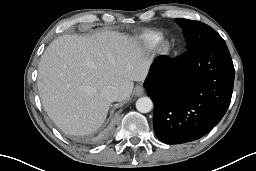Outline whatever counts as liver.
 I'll use <instances>...</instances> for the list:
<instances>
[{
  "label": "liver",
  "mask_w": 256,
  "mask_h": 171,
  "mask_svg": "<svg viewBox=\"0 0 256 171\" xmlns=\"http://www.w3.org/2000/svg\"><path fill=\"white\" fill-rule=\"evenodd\" d=\"M149 61L132 38L117 32L90 37L63 35L53 40L38 65V90L45 111L66 134L84 136L104 123L110 101L106 86L128 98L133 81H143Z\"/></svg>",
  "instance_id": "obj_1"
}]
</instances>
